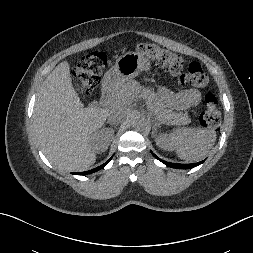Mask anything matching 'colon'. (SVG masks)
I'll return each instance as SVG.
<instances>
[{
	"instance_id": "colon-1",
	"label": "colon",
	"mask_w": 253,
	"mask_h": 253,
	"mask_svg": "<svg viewBox=\"0 0 253 253\" xmlns=\"http://www.w3.org/2000/svg\"><path fill=\"white\" fill-rule=\"evenodd\" d=\"M136 50L177 77L182 85L204 87L208 83L206 73L197 62L187 63L177 54L152 43L139 44ZM107 62V56L101 51H92L81 58L75 69L74 79L84 97L88 96L99 83ZM199 121L206 128L217 129L220 126L221 114L217 106V98L211 92L204 96V107L200 112Z\"/></svg>"
}]
</instances>
